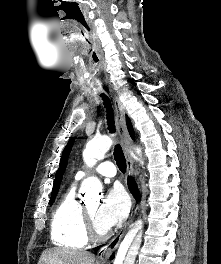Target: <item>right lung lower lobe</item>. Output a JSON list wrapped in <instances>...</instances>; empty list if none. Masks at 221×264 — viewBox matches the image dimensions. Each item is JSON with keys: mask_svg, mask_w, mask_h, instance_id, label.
Returning <instances> with one entry per match:
<instances>
[{"mask_svg": "<svg viewBox=\"0 0 221 264\" xmlns=\"http://www.w3.org/2000/svg\"><path fill=\"white\" fill-rule=\"evenodd\" d=\"M128 186H129L130 191L134 195V197L137 199L138 198V188L132 177L128 178Z\"/></svg>", "mask_w": 221, "mask_h": 264, "instance_id": "98d812e1", "label": "right lung lower lobe"}]
</instances>
